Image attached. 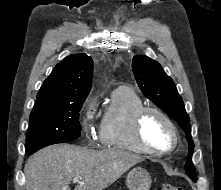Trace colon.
Here are the masks:
<instances>
[{"label":"colon","mask_w":221,"mask_h":190,"mask_svg":"<svg viewBox=\"0 0 221 190\" xmlns=\"http://www.w3.org/2000/svg\"><path fill=\"white\" fill-rule=\"evenodd\" d=\"M161 190H183V189L176 185L164 184L162 185Z\"/></svg>","instance_id":"5ec220e1"}]
</instances>
